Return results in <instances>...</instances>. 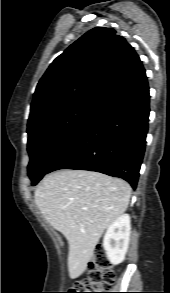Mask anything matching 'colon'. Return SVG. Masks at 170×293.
Here are the masks:
<instances>
[{"label": "colon", "instance_id": "5ec220e1", "mask_svg": "<svg viewBox=\"0 0 170 293\" xmlns=\"http://www.w3.org/2000/svg\"><path fill=\"white\" fill-rule=\"evenodd\" d=\"M86 276L74 284L70 293H105V289L113 284L115 275L108 266L103 247L98 246L93 251Z\"/></svg>", "mask_w": 170, "mask_h": 293}]
</instances>
